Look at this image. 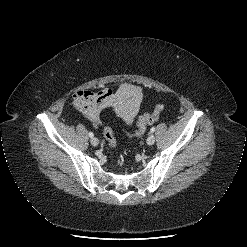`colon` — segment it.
I'll list each match as a JSON object with an SVG mask.
<instances>
[{"mask_svg": "<svg viewBox=\"0 0 247 247\" xmlns=\"http://www.w3.org/2000/svg\"><path fill=\"white\" fill-rule=\"evenodd\" d=\"M155 119H156V115L154 113L143 114L138 120L136 131L133 134H131L130 136L131 137L141 136L145 132L146 128L155 121ZM104 136H105V139L107 140L108 144L112 148H115L116 147V139H115L114 133L110 127L104 128Z\"/></svg>", "mask_w": 247, "mask_h": 247, "instance_id": "5ec220e1", "label": "colon"}]
</instances>
